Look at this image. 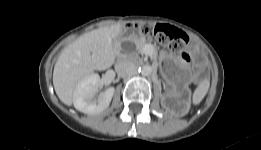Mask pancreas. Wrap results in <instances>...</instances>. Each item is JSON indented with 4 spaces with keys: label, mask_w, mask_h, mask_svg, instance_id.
I'll list each match as a JSON object with an SVG mask.
<instances>
[{
    "label": "pancreas",
    "mask_w": 261,
    "mask_h": 150,
    "mask_svg": "<svg viewBox=\"0 0 261 150\" xmlns=\"http://www.w3.org/2000/svg\"><path fill=\"white\" fill-rule=\"evenodd\" d=\"M135 44H136V46H137V48H138V50H139V52H140L141 54H143V48H144V46L147 45V44H149V45L151 46V49H152V51H151V53H150V57H151L152 59H154L153 53L155 52V47H154L150 42H148L145 38L136 39V40H135Z\"/></svg>",
    "instance_id": "cf45deb5"
}]
</instances>
